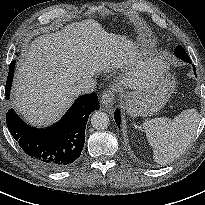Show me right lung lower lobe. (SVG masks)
Wrapping results in <instances>:
<instances>
[{
  "label": "right lung lower lobe",
  "mask_w": 205,
  "mask_h": 205,
  "mask_svg": "<svg viewBox=\"0 0 205 205\" xmlns=\"http://www.w3.org/2000/svg\"><path fill=\"white\" fill-rule=\"evenodd\" d=\"M13 67H15V61ZM14 70L8 75L13 77ZM99 109L96 93L79 97L56 124L37 129L24 123L10 109L6 115L8 130L24 152L40 167L59 171L73 166L85 142V128L90 113Z\"/></svg>",
  "instance_id": "right-lung-lower-lobe-1"
}]
</instances>
